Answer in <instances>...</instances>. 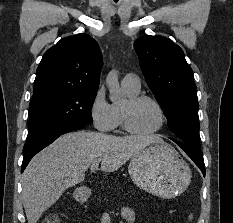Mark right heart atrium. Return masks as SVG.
I'll return each instance as SVG.
<instances>
[{"instance_id": "d8ad5b80", "label": "right heart atrium", "mask_w": 233, "mask_h": 223, "mask_svg": "<svg viewBox=\"0 0 233 223\" xmlns=\"http://www.w3.org/2000/svg\"><path fill=\"white\" fill-rule=\"evenodd\" d=\"M90 118L95 128L102 132H109L116 128L113 105L106 98L103 89L96 92L90 108Z\"/></svg>"}]
</instances>
